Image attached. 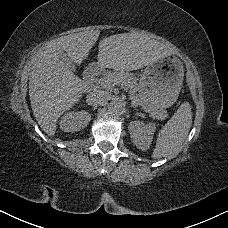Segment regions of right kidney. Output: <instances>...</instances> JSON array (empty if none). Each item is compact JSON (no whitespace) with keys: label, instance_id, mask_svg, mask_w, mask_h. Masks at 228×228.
<instances>
[{"label":"right kidney","instance_id":"ca27d5eb","mask_svg":"<svg viewBox=\"0 0 228 228\" xmlns=\"http://www.w3.org/2000/svg\"><path fill=\"white\" fill-rule=\"evenodd\" d=\"M91 117L86 112H76L67 114L61 124L60 127L65 132H76L84 129L90 122Z\"/></svg>","mask_w":228,"mask_h":228}]
</instances>
